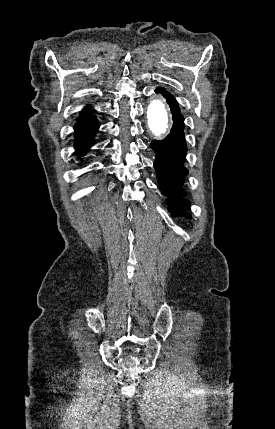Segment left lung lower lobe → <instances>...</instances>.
<instances>
[{"label":"left lung lower lobe","instance_id":"0a47b994","mask_svg":"<svg viewBox=\"0 0 275 429\" xmlns=\"http://www.w3.org/2000/svg\"><path fill=\"white\" fill-rule=\"evenodd\" d=\"M167 98L170 106L173 126L170 134L162 141L154 140L150 146L155 151L156 159L154 168L157 173L158 183L163 195L167 196L169 211L173 216H185L189 210L188 201L184 199L185 191L182 189L184 177L188 170L183 167L187 147L184 138V118L178 108L177 101L163 89H157Z\"/></svg>","mask_w":275,"mask_h":429}]
</instances>
